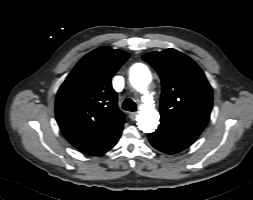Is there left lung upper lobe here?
Instances as JSON below:
<instances>
[{
  "mask_svg": "<svg viewBox=\"0 0 253 200\" xmlns=\"http://www.w3.org/2000/svg\"><path fill=\"white\" fill-rule=\"evenodd\" d=\"M162 81L161 120L202 131L212 110V89L200 67L175 49L143 55Z\"/></svg>",
  "mask_w": 253,
  "mask_h": 200,
  "instance_id": "left-lung-upper-lobe-1",
  "label": "left lung upper lobe"
}]
</instances>
